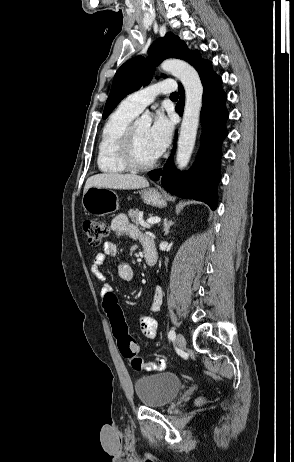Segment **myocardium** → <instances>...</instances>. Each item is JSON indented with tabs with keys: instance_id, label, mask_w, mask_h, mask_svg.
<instances>
[{
	"instance_id": "myocardium-1",
	"label": "myocardium",
	"mask_w": 294,
	"mask_h": 462,
	"mask_svg": "<svg viewBox=\"0 0 294 462\" xmlns=\"http://www.w3.org/2000/svg\"><path fill=\"white\" fill-rule=\"evenodd\" d=\"M136 124L137 123L135 122H131L125 129L120 140L118 154L120 161L127 169L133 171H144L154 167L157 164L160 155L146 163H142L137 160L135 152Z\"/></svg>"
}]
</instances>
